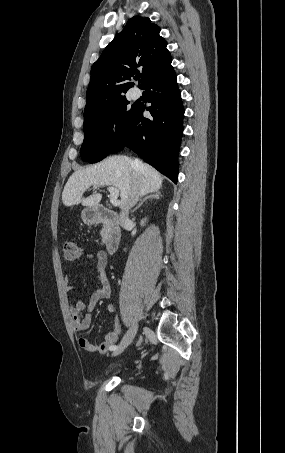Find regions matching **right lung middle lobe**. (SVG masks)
Returning a JSON list of instances; mask_svg holds the SVG:
<instances>
[{
    "label": "right lung middle lobe",
    "instance_id": "obj_1",
    "mask_svg": "<svg viewBox=\"0 0 285 453\" xmlns=\"http://www.w3.org/2000/svg\"><path fill=\"white\" fill-rule=\"evenodd\" d=\"M126 97L112 100L84 114L81 158L96 163L108 156L125 135L137 106L128 107ZM116 124V132L113 125Z\"/></svg>",
    "mask_w": 285,
    "mask_h": 453
}]
</instances>
